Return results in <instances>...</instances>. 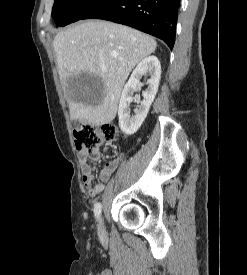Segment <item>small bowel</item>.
<instances>
[{"instance_id": "obj_1", "label": "small bowel", "mask_w": 247, "mask_h": 275, "mask_svg": "<svg viewBox=\"0 0 247 275\" xmlns=\"http://www.w3.org/2000/svg\"><path fill=\"white\" fill-rule=\"evenodd\" d=\"M81 157V170H82V180L85 187L88 190L90 196L94 197L100 194L104 189V184L109 181L112 174L118 168L121 158L114 159L105 164L103 169L99 174V182H94L95 172L94 169L88 163V154L86 152H82L80 154Z\"/></svg>"}]
</instances>
